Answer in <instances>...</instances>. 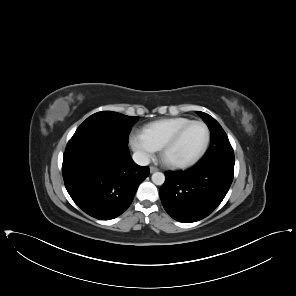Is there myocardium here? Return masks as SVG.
Segmentation results:
<instances>
[{
  "label": "myocardium",
  "mask_w": 296,
  "mask_h": 296,
  "mask_svg": "<svg viewBox=\"0 0 296 296\" xmlns=\"http://www.w3.org/2000/svg\"><path fill=\"white\" fill-rule=\"evenodd\" d=\"M195 124L201 125L205 129V134H206L204 144H203L202 148L200 149V151L194 157L187 159V160L168 161L166 159V153H167L168 149L177 142V140L179 139L181 134L188 127L195 125ZM209 141H210V131H209L208 126L202 121L192 120V121L188 122L187 124H185L184 126H182L181 128H179L176 132H174L168 138V140L164 143V145L162 146V158L168 165H170L172 167H176V168H183V167L193 165L194 163H196L197 161H199L203 157V155L205 154V152L208 148Z\"/></svg>",
  "instance_id": "obj_1"
}]
</instances>
